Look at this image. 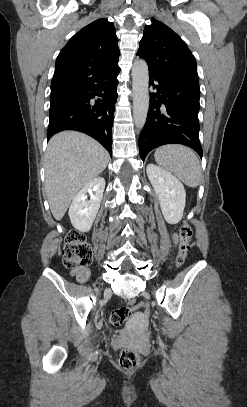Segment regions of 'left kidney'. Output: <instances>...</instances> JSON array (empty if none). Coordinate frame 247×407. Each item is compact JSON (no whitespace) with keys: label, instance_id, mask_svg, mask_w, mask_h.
<instances>
[{"label":"left kidney","instance_id":"5707ae66","mask_svg":"<svg viewBox=\"0 0 247 407\" xmlns=\"http://www.w3.org/2000/svg\"><path fill=\"white\" fill-rule=\"evenodd\" d=\"M146 172L166 222L177 224L182 219L186 202L183 184L171 173L152 163L147 165Z\"/></svg>","mask_w":247,"mask_h":407}]
</instances>
